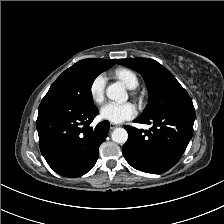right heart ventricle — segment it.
I'll use <instances>...</instances> for the list:
<instances>
[{"label": "right heart ventricle", "instance_id": "right-heart-ventricle-1", "mask_svg": "<svg viewBox=\"0 0 224 224\" xmlns=\"http://www.w3.org/2000/svg\"><path fill=\"white\" fill-rule=\"evenodd\" d=\"M114 76L123 82L129 89H135L139 84L137 75L132 70L127 68L116 69L114 71Z\"/></svg>", "mask_w": 224, "mask_h": 224}]
</instances>
